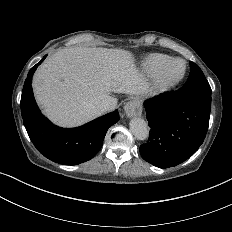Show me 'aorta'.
<instances>
[{"mask_svg":"<svg viewBox=\"0 0 232 232\" xmlns=\"http://www.w3.org/2000/svg\"><path fill=\"white\" fill-rule=\"evenodd\" d=\"M130 130L138 140H146L149 136V126L142 118H133L130 123Z\"/></svg>","mask_w":232,"mask_h":232,"instance_id":"1","label":"aorta"}]
</instances>
